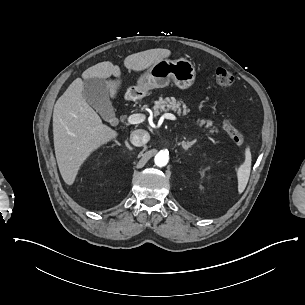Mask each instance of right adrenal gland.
<instances>
[{
  "mask_svg": "<svg viewBox=\"0 0 305 305\" xmlns=\"http://www.w3.org/2000/svg\"><path fill=\"white\" fill-rule=\"evenodd\" d=\"M125 146L128 150L133 151V149L131 148V146L125 141Z\"/></svg>",
  "mask_w": 305,
  "mask_h": 305,
  "instance_id": "right-adrenal-gland-1",
  "label": "right adrenal gland"
}]
</instances>
